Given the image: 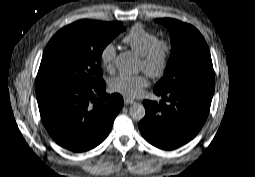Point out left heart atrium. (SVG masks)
<instances>
[{
	"label": "left heart atrium",
	"mask_w": 255,
	"mask_h": 177,
	"mask_svg": "<svg viewBox=\"0 0 255 177\" xmlns=\"http://www.w3.org/2000/svg\"><path fill=\"white\" fill-rule=\"evenodd\" d=\"M148 86L147 78L144 74L129 76L119 75L110 81V90L121 94L127 98L138 97L142 90Z\"/></svg>",
	"instance_id": "39dd6f15"
}]
</instances>
